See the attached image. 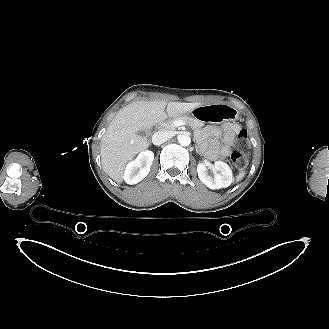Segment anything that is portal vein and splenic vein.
Here are the masks:
<instances>
[{"instance_id": "portal-vein-and-splenic-vein-1", "label": "portal vein and splenic vein", "mask_w": 329, "mask_h": 329, "mask_svg": "<svg viewBox=\"0 0 329 329\" xmlns=\"http://www.w3.org/2000/svg\"><path fill=\"white\" fill-rule=\"evenodd\" d=\"M185 123L184 122H182V121H176L175 123H174V126L175 127H178V126H181V125H184Z\"/></svg>"}]
</instances>
